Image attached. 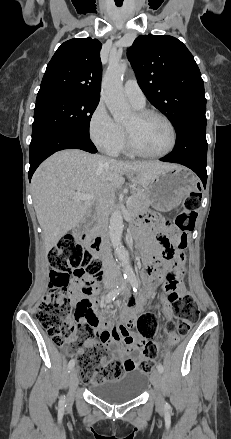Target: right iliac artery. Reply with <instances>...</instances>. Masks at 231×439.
I'll return each mask as SVG.
<instances>
[{"mask_svg": "<svg viewBox=\"0 0 231 439\" xmlns=\"http://www.w3.org/2000/svg\"><path fill=\"white\" fill-rule=\"evenodd\" d=\"M128 281H129V280L127 279L126 282H128ZM126 282H125V283H126ZM123 288H124V285H123L122 287H118V286H117V288H114L113 290H111V291L108 293L107 297H106V302L109 303V302H111L112 300H114L115 297L121 292V290H122ZM74 365H75V360H74V359L70 360V361H69V364H68V368H69V370H71V369L74 367ZM64 404H65V397L62 396L61 399H60L59 405H60L61 407H63Z\"/></svg>", "mask_w": 231, "mask_h": 439, "instance_id": "obj_1", "label": "right iliac artery"}]
</instances>
